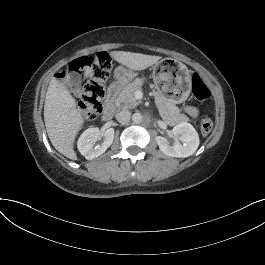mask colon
Returning <instances> with one entry per match:
<instances>
[{"instance_id": "obj_1", "label": "colon", "mask_w": 265, "mask_h": 265, "mask_svg": "<svg viewBox=\"0 0 265 265\" xmlns=\"http://www.w3.org/2000/svg\"><path fill=\"white\" fill-rule=\"evenodd\" d=\"M112 58L107 52H99L94 55L81 56L74 59L67 69L57 73L58 77H65L71 71L89 70L90 80L85 86L79 109L88 117H95L103 109L105 97L104 83L109 77L112 67ZM192 93L194 98L202 103L210 97V89L198 74L192 76ZM213 121L209 117H203L200 122V131L207 135L212 131Z\"/></svg>"}]
</instances>
